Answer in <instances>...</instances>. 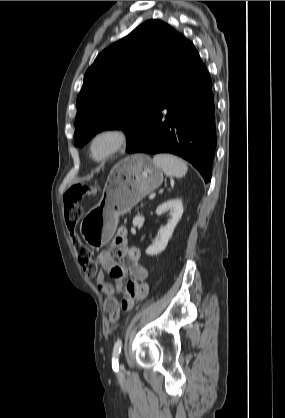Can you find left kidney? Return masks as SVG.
I'll return each mask as SVG.
<instances>
[{
    "label": "left kidney",
    "instance_id": "obj_1",
    "mask_svg": "<svg viewBox=\"0 0 285 418\" xmlns=\"http://www.w3.org/2000/svg\"><path fill=\"white\" fill-rule=\"evenodd\" d=\"M163 211H169L171 218L165 226L160 228L159 236L156 237L152 245H150L146 250V254L148 255H157L164 251L167 247L168 241L171 238L177 223L182 217L183 203L180 199L168 200L157 207L156 214H161Z\"/></svg>",
    "mask_w": 285,
    "mask_h": 418
}]
</instances>
